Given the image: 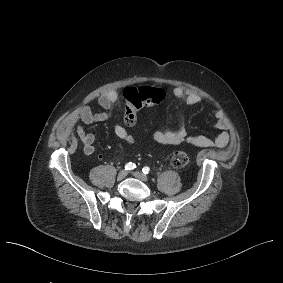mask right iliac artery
<instances>
[{
  "mask_svg": "<svg viewBox=\"0 0 283 283\" xmlns=\"http://www.w3.org/2000/svg\"><path fill=\"white\" fill-rule=\"evenodd\" d=\"M136 168V165L132 162H129L125 165V170H133Z\"/></svg>",
  "mask_w": 283,
  "mask_h": 283,
  "instance_id": "obj_1",
  "label": "right iliac artery"
}]
</instances>
